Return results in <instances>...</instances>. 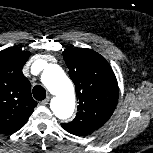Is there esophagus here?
I'll return each mask as SVG.
<instances>
[{"mask_svg":"<svg viewBox=\"0 0 153 153\" xmlns=\"http://www.w3.org/2000/svg\"><path fill=\"white\" fill-rule=\"evenodd\" d=\"M51 97L50 96H47L43 101H41V105H46L48 104V102L50 101Z\"/></svg>","mask_w":153,"mask_h":153,"instance_id":"obj_1","label":"esophagus"}]
</instances>
